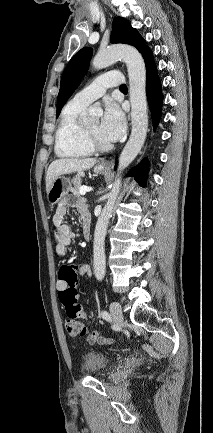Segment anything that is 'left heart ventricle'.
<instances>
[{
	"mask_svg": "<svg viewBox=\"0 0 213 433\" xmlns=\"http://www.w3.org/2000/svg\"><path fill=\"white\" fill-rule=\"evenodd\" d=\"M87 130L91 132L98 140L103 143H109V141L103 136L100 128V122L95 121L87 127Z\"/></svg>",
	"mask_w": 213,
	"mask_h": 433,
	"instance_id": "b2bd125f",
	"label": "left heart ventricle"
}]
</instances>
